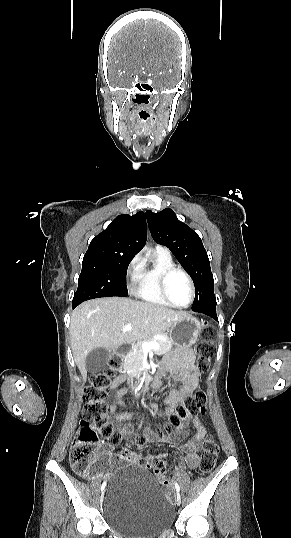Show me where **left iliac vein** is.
I'll list each match as a JSON object with an SVG mask.
<instances>
[{
    "mask_svg": "<svg viewBox=\"0 0 291 538\" xmlns=\"http://www.w3.org/2000/svg\"><path fill=\"white\" fill-rule=\"evenodd\" d=\"M176 503H177V505L181 504V496H180L179 493H177V496H176Z\"/></svg>",
    "mask_w": 291,
    "mask_h": 538,
    "instance_id": "1",
    "label": "left iliac vein"
}]
</instances>
